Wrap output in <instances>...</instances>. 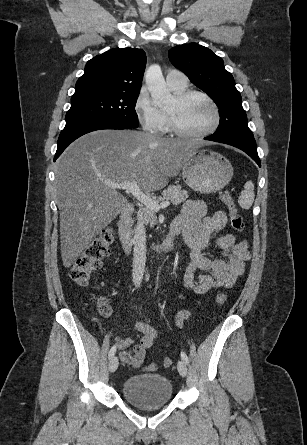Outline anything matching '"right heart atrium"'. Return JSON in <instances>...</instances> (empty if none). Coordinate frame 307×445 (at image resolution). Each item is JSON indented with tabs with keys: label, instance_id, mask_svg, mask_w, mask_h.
Listing matches in <instances>:
<instances>
[{
	"label": "right heart atrium",
	"instance_id": "d8ad5b80",
	"mask_svg": "<svg viewBox=\"0 0 307 445\" xmlns=\"http://www.w3.org/2000/svg\"><path fill=\"white\" fill-rule=\"evenodd\" d=\"M133 112L143 130L147 133L157 135L162 131L164 125L163 114L145 89L138 92L134 100Z\"/></svg>",
	"mask_w": 307,
	"mask_h": 445
}]
</instances>
